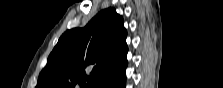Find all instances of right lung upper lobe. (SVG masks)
<instances>
[{"label": "right lung upper lobe", "instance_id": "cb5924a9", "mask_svg": "<svg viewBox=\"0 0 223 88\" xmlns=\"http://www.w3.org/2000/svg\"><path fill=\"white\" fill-rule=\"evenodd\" d=\"M127 31L114 8L66 31L48 57L36 88H116L126 80Z\"/></svg>", "mask_w": 223, "mask_h": 88}]
</instances>
